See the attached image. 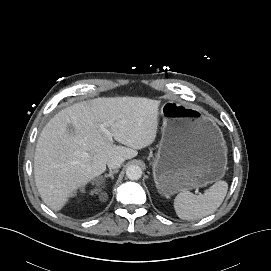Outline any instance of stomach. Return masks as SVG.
Instances as JSON below:
<instances>
[{"mask_svg":"<svg viewBox=\"0 0 271 271\" xmlns=\"http://www.w3.org/2000/svg\"><path fill=\"white\" fill-rule=\"evenodd\" d=\"M162 138L152 170L160 195L221 179L227 167V147L214 120L193 105L170 101L161 107Z\"/></svg>","mask_w":271,"mask_h":271,"instance_id":"obj_1","label":"stomach"}]
</instances>
